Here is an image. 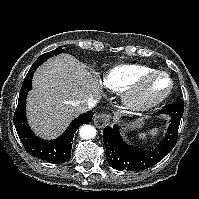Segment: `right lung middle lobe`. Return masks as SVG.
I'll list each match as a JSON object with an SVG mask.
<instances>
[{
	"instance_id": "obj_1",
	"label": "right lung middle lobe",
	"mask_w": 199,
	"mask_h": 199,
	"mask_svg": "<svg viewBox=\"0 0 199 199\" xmlns=\"http://www.w3.org/2000/svg\"><path fill=\"white\" fill-rule=\"evenodd\" d=\"M62 51L63 50H62V46H61L53 51L42 54L41 56H39V58L36 61H45L48 58L53 57L54 55H58V54L62 53Z\"/></svg>"
}]
</instances>
